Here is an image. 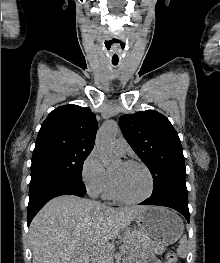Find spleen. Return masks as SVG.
<instances>
[{
  "instance_id": "3e777b00",
  "label": "spleen",
  "mask_w": 220,
  "mask_h": 263,
  "mask_svg": "<svg viewBox=\"0 0 220 263\" xmlns=\"http://www.w3.org/2000/svg\"><path fill=\"white\" fill-rule=\"evenodd\" d=\"M186 252H187V237L183 236L179 242L178 255L180 257H185Z\"/></svg>"
}]
</instances>
